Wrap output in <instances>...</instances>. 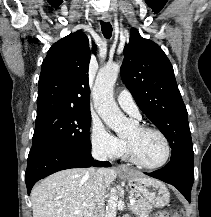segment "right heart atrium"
Masks as SVG:
<instances>
[{"instance_id":"right-heart-atrium-1","label":"right heart atrium","mask_w":211,"mask_h":217,"mask_svg":"<svg viewBox=\"0 0 211 217\" xmlns=\"http://www.w3.org/2000/svg\"><path fill=\"white\" fill-rule=\"evenodd\" d=\"M91 145L96 153L110 159L120 157L126 147L123 140L109 133L99 122L92 123Z\"/></svg>"}]
</instances>
